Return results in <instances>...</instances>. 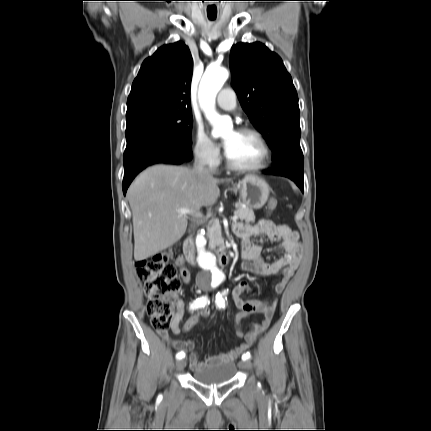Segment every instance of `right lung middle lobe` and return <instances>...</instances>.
Instances as JSON below:
<instances>
[{
	"label": "right lung middle lobe",
	"mask_w": 431,
	"mask_h": 431,
	"mask_svg": "<svg viewBox=\"0 0 431 431\" xmlns=\"http://www.w3.org/2000/svg\"><path fill=\"white\" fill-rule=\"evenodd\" d=\"M126 122L127 143L146 135L159 134L192 145L191 112H151L127 118Z\"/></svg>",
	"instance_id": "dd1d6c3e"
}]
</instances>
